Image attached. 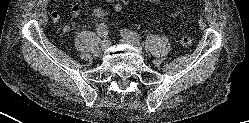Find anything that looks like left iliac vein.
<instances>
[{
  "label": "left iliac vein",
  "mask_w": 249,
  "mask_h": 123,
  "mask_svg": "<svg viewBox=\"0 0 249 123\" xmlns=\"http://www.w3.org/2000/svg\"><path fill=\"white\" fill-rule=\"evenodd\" d=\"M122 41L128 44H131L139 49L141 48L139 40L131 38L125 35L124 33H122Z\"/></svg>",
  "instance_id": "4c4485c4"
}]
</instances>
